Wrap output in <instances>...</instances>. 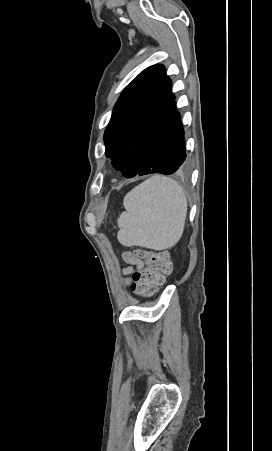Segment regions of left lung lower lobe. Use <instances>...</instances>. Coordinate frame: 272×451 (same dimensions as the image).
<instances>
[{
	"mask_svg": "<svg viewBox=\"0 0 272 451\" xmlns=\"http://www.w3.org/2000/svg\"><path fill=\"white\" fill-rule=\"evenodd\" d=\"M187 167L184 129L174 99L155 128L136 175L151 173L170 175Z\"/></svg>",
	"mask_w": 272,
	"mask_h": 451,
	"instance_id": "1",
	"label": "left lung lower lobe"
}]
</instances>
